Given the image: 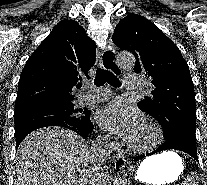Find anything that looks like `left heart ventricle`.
I'll return each instance as SVG.
<instances>
[{
  "label": "left heart ventricle",
  "mask_w": 207,
  "mask_h": 185,
  "mask_svg": "<svg viewBox=\"0 0 207 185\" xmlns=\"http://www.w3.org/2000/svg\"><path fill=\"white\" fill-rule=\"evenodd\" d=\"M158 138L153 130L147 127L145 124L141 127V129L134 135L132 139H130L136 146L140 148H144L148 142L153 139Z\"/></svg>",
  "instance_id": "obj_1"
}]
</instances>
